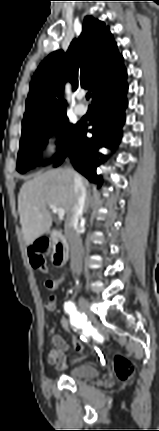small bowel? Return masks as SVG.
<instances>
[{
	"label": "small bowel",
	"instance_id": "small-bowel-1",
	"mask_svg": "<svg viewBox=\"0 0 159 431\" xmlns=\"http://www.w3.org/2000/svg\"><path fill=\"white\" fill-rule=\"evenodd\" d=\"M65 279H66V275L62 274L58 279L47 281L46 287L48 290L53 291L56 288H58L60 285H62ZM47 302H46V308H47ZM51 340H52L53 347L48 353V361L51 364L57 366L58 368H63L65 367V363H66V358H67L66 351L68 349V344L60 335H53Z\"/></svg>",
	"mask_w": 159,
	"mask_h": 431
}]
</instances>
